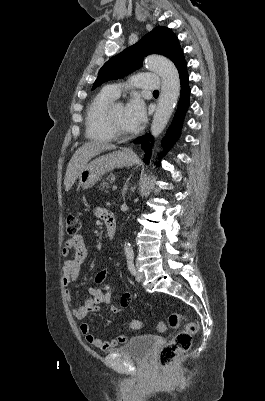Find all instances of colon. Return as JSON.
<instances>
[{
	"label": "colon",
	"mask_w": 265,
	"mask_h": 401,
	"mask_svg": "<svg viewBox=\"0 0 265 401\" xmlns=\"http://www.w3.org/2000/svg\"><path fill=\"white\" fill-rule=\"evenodd\" d=\"M80 230V220L75 215H69L66 220V231L70 235H76ZM182 323L184 327L167 344H165L159 353V362L162 370L168 371L177 361V359L187 352L192 344V337L197 331L196 324L190 321L186 316L178 312H172L166 321L158 324L159 331H166L167 328H177ZM132 329H139L141 322L133 320L130 323Z\"/></svg>",
	"instance_id": "obj_1"
}]
</instances>
